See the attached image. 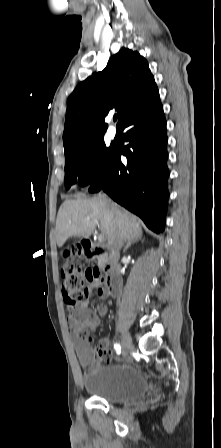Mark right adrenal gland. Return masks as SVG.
<instances>
[{"label": "right adrenal gland", "mask_w": 221, "mask_h": 448, "mask_svg": "<svg viewBox=\"0 0 221 448\" xmlns=\"http://www.w3.org/2000/svg\"><path fill=\"white\" fill-rule=\"evenodd\" d=\"M139 239H140L141 241L144 240V239H142V237H140ZM137 241H138V239L129 241V242L127 243V245L125 246L124 251H127V249H128L132 244L136 243Z\"/></svg>", "instance_id": "1"}]
</instances>
